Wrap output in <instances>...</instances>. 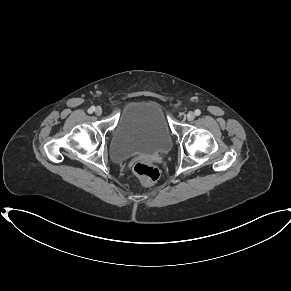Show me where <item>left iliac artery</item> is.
<instances>
[{
  "label": "left iliac artery",
  "instance_id": "obj_1",
  "mask_svg": "<svg viewBox=\"0 0 291 291\" xmlns=\"http://www.w3.org/2000/svg\"><path fill=\"white\" fill-rule=\"evenodd\" d=\"M200 114H201V111H200L199 109H196V110H195V115H196V116H199Z\"/></svg>",
  "mask_w": 291,
  "mask_h": 291
}]
</instances>
